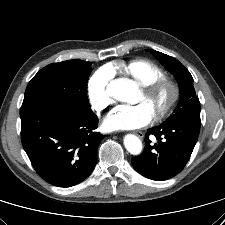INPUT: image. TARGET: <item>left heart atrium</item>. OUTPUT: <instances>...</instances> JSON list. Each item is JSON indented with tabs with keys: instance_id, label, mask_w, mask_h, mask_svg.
<instances>
[{
	"instance_id": "1",
	"label": "left heart atrium",
	"mask_w": 225,
	"mask_h": 225,
	"mask_svg": "<svg viewBox=\"0 0 225 225\" xmlns=\"http://www.w3.org/2000/svg\"><path fill=\"white\" fill-rule=\"evenodd\" d=\"M154 117V111L145 102L136 105H119L104 120L108 130H130L147 125Z\"/></svg>"
}]
</instances>
